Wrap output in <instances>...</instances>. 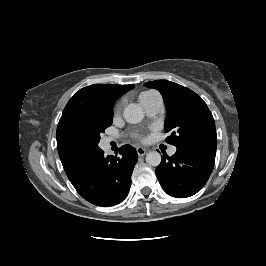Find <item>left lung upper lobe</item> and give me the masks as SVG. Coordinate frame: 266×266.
<instances>
[{
	"mask_svg": "<svg viewBox=\"0 0 266 266\" xmlns=\"http://www.w3.org/2000/svg\"><path fill=\"white\" fill-rule=\"evenodd\" d=\"M159 90L166 106V142L176 147L217 146L214 118L206 103L192 90L167 80L144 84Z\"/></svg>",
	"mask_w": 266,
	"mask_h": 266,
	"instance_id": "5c2ea615",
	"label": "left lung upper lobe"
}]
</instances>
